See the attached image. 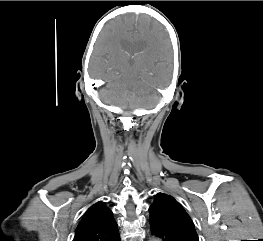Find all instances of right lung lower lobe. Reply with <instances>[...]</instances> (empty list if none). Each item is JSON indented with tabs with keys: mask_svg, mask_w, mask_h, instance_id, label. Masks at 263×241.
Returning <instances> with one entry per match:
<instances>
[{
	"mask_svg": "<svg viewBox=\"0 0 263 241\" xmlns=\"http://www.w3.org/2000/svg\"><path fill=\"white\" fill-rule=\"evenodd\" d=\"M117 241H120V237L117 239Z\"/></svg>",
	"mask_w": 263,
	"mask_h": 241,
	"instance_id": "98d812e1",
	"label": "right lung lower lobe"
}]
</instances>
